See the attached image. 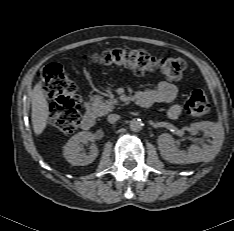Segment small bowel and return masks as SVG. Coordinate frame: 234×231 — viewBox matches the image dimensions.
I'll return each mask as SVG.
<instances>
[{
    "label": "small bowel",
    "mask_w": 234,
    "mask_h": 231,
    "mask_svg": "<svg viewBox=\"0 0 234 231\" xmlns=\"http://www.w3.org/2000/svg\"><path fill=\"white\" fill-rule=\"evenodd\" d=\"M178 90L174 84L168 82H160L155 88L144 90L137 94L147 98L151 105L155 103L169 104L167 115L170 119H177L181 114V106L175 103ZM150 105V106H151Z\"/></svg>",
    "instance_id": "obj_1"
}]
</instances>
